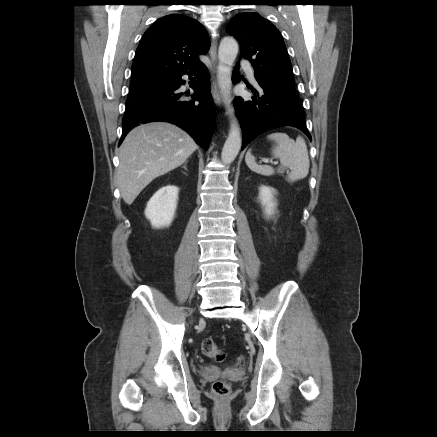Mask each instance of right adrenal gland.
I'll use <instances>...</instances> for the list:
<instances>
[{
    "label": "right adrenal gland",
    "instance_id": "right-adrenal-gland-1",
    "mask_svg": "<svg viewBox=\"0 0 437 437\" xmlns=\"http://www.w3.org/2000/svg\"><path fill=\"white\" fill-rule=\"evenodd\" d=\"M187 162L184 164V166L182 167V168H184V170H186L187 171Z\"/></svg>",
    "mask_w": 437,
    "mask_h": 437
}]
</instances>
